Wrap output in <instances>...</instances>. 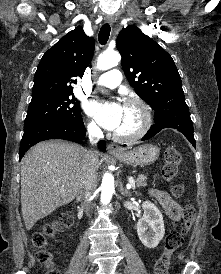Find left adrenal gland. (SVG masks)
<instances>
[{
	"instance_id": "1",
	"label": "left adrenal gland",
	"mask_w": 221,
	"mask_h": 274,
	"mask_svg": "<svg viewBox=\"0 0 221 274\" xmlns=\"http://www.w3.org/2000/svg\"><path fill=\"white\" fill-rule=\"evenodd\" d=\"M120 192H121V194L124 195V196H127V195L130 194L129 191H127V190L124 189V187H123L122 184H120Z\"/></svg>"
}]
</instances>
